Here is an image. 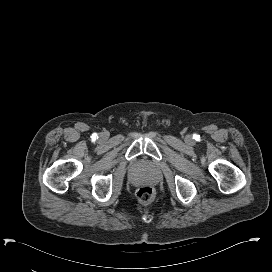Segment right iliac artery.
Here are the masks:
<instances>
[{
  "instance_id": "1",
  "label": "right iliac artery",
  "mask_w": 272,
  "mask_h": 272,
  "mask_svg": "<svg viewBox=\"0 0 272 272\" xmlns=\"http://www.w3.org/2000/svg\"><path fill=\"white\" fill-rule=\"evenodd\" d=\"M92 138H93V139L98 138V137H97V134L94 133V134L92 135Z\"/></svg>"
}]
</instances>
